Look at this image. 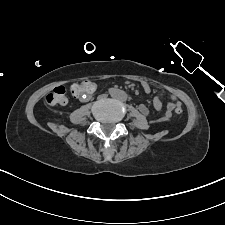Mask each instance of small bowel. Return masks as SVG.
<instances>
[{
	"label": "small bowel",
	"instance_id": "c3829d8e",
	"mask_svg": "<svg viewBox=\"0 0 225 225\" xmlns=\"http://www.w3.org/2000/svg\"><path fill=\"white\" fill-rule=\"evenodd\" d=\"M141 87L143 88V90L146 93H149L151 88L150 85L145 82L142 81L140 83ZM96 90V85L94 84V89L88 93H83L81 95L75 96L77 99H79L80 101H83L86 98V94L90 95L92 93H94V91ZM163 96V93L160 95L155 96V98L153 99V106L155 108L156 111L161 112L163 110V103L161 101V97ZM180 105V102L178 101L177 97L175 95H169V100L166 104L165 110L163 111V113L156 119V121L158 122H165V121H169L172 117V113L173 110L175 109L176 106ZM139 110L140 112L145 115V116H150V110L148 109L147 106L145 105H140L139 106Z\"/></svg>",
	"mask_w": 225,
	"mask_h": 225
}]
</instances>
